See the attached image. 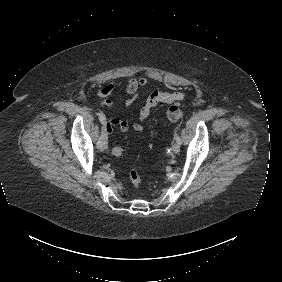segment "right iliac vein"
<instances>
[{
	"label": "right iliac vein",
	"instance_id": "63e3f726",
	"mask_svg": "<svg viewBox=\"0 0 282 282\" xmlns=\"http://www.w3.org/2000/svg\"><path fill=\"white\" fill-rule=\"evenodd\" d=\"M105 127L102 128V133L99 139V147L101 150H106L108 147V139H107V134L105 132Z\"/></svg>",
	"mask_w": 282,
	"mask_h": 282
}]
</instances>
